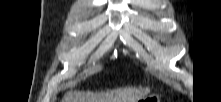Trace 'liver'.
<instances>
[{
	"label": "liver",
	"mask_w": 221,
	"mask_h": 102,
	"mask_svg": "<svg viewBox=\"0 0 221 102\" xmlns=\"http://www.w3.org/2000/svg\"><path fill=\"white\" fill-rule=\"evenodd\" d=\"M149 91L148 88L135 87H125L101 93L70 91L64 96L62 102H138Z\"/></svg>",
	"instance_id": "6515ba94"
}]
</instances>
